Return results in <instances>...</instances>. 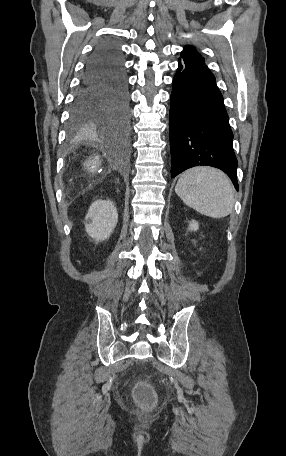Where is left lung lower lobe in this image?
Returning a JSON list of instances; mask_svg holds the SVG:
<instances>
[{
	"mask_svg": "<svg viewBox=\"0 0 286 456\" xmlns=\"http://www.w3.org/2000/svg\"><path fill=\"white\" fill-rule=\"evenodd\" d=\"M171 177L207 165L223 170L236 190L237 159L223 96L208 67L179 59L170 106Z\"/></svg>",
	"mask_w": 286,
	"mask_h": 456,
	"instance_id": "1",
	"label": "left lung lower lobe"
}]
</instances>
